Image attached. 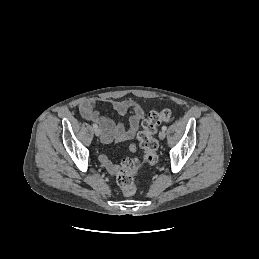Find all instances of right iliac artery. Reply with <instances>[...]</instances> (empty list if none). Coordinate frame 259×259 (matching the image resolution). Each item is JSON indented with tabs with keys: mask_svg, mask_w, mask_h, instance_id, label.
Segmentation results:
<instances>
[{
	"mask_svg": "<svg viewBox=\"0 0 259 259\" xmlns=\"http://www.w3.org/2000/svg\"><path fill=\"white\" fill-rule=\"evenodd\" d=\"M98 126L97 124H93V128L96 129Z\"/></svg>",
	"mask_w": 259,
	"mask_h": 259,
	"instance_id": "right-iliac-artery-1",
	"label": "right iliac artery"
}]
</instances>
